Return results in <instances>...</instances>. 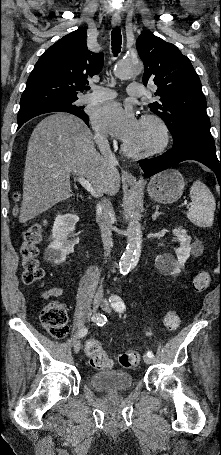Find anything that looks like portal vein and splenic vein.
Here are the masks:
<instances>
[{"label":"portal vein and splenic vein","instance_id":"portal-vein-and-splenic-vein-1","mask_svg":"<svg viewBox=\"0 0 221 455\" xmlns=\"http://www.w3.org/2000/svg\"><path fill=\"white\" fill-rule=\"evenodd\" d=\"M78 182L92 195L95 196V190L92 185L83 177H78Z\"/></svg>","mask_w":221,"mask_h":455}]
</instances>
